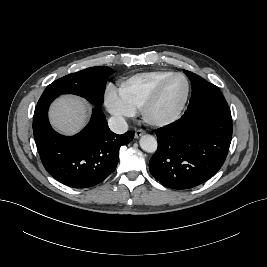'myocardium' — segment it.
<instances>
[{
    "mask_svg": "<svg viewBox=\"0 0 267 267\" xmlns=\"http://www.w3.org/2000/svg\"><path fill=\"white\" fill-rule=\"evenodd\" d=\"M176 77H180V78L184 79V81L186 83V91H185V95H184L181 103L172 113H170L168 115L154 116L152 114L153 108L157 104L165 86L167 85V83L170 80H172L173 78H176ZM190 89H191L190 82H189L188 78L182 73H172V74L168 75L167 77H165L164 79H162L158 83V85L155 87L153 92L150 94V96L147 98V100L144 102L143 106L140 109L141 115H142L144 121L146 123L152 125V126L161 127V126L169 125V124L175 122L176 120H178L179 117L181 116L182 112L184 111L186 104L188 102L189 95H190Z\"/></svg>",
    "mask_w": 267,
    "mask_h": 267,
    "instance_id": "1",
    "label": "myocardium"
}]
</instances>
